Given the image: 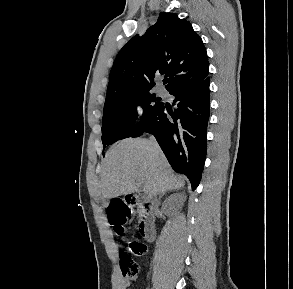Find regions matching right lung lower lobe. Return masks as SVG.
I'll use <instances>...</instances> for the list:
<instances>
[{
	"label": "right lung lower lobe",
	"instance_id": "1",
	"mask_svg": "<svg viewBox=\"0 0 293 289\" xmlns=\"http://www.w3.org/2000/svg\"><path fill=\"white\" fill-rule=\"evenodd\" d=\"M209 82L206 77L169 91L175 96L173 105L177 108L172 112L162 103L131 136L153 134L173 169L189 178L193 190L199 185L207 151Z\"/></svg>",
	"mask_w": 293,
	"mask_h": 289
}]
</instances>
